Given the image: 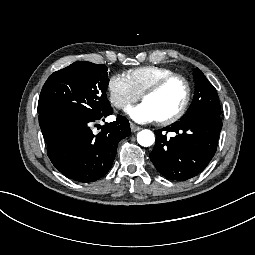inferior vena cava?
Listing matches in <instances>:
<instances>
[{"label": "inferior vena cava", "mask_w": 255, "mask_h": 255, "mask_svg": "<svg viewBox=\"0 0 255 255\" xmlns=\"http://www.w3.org/2000/svg\"><path fill=\"white\" fill-rule=\"evenodd\" d=\"M123 105H125V101L123 100V98L117 99V101L115 102V107L120 108Z\"/></svg>", "instance_id": "1"}]
</instances>
